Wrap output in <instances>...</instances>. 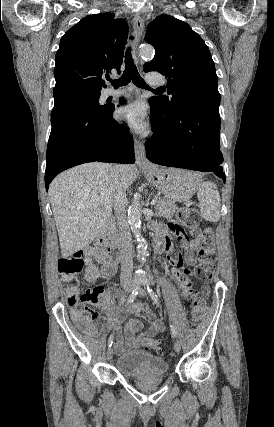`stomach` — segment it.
Returning <instances> with one entry per match:
<instances>
[{
	"mask_svg": "<svg viewBox=\"0 0 274 427\" xmlns=\"http://www.w3.org/2000/svg\"><path fill=\"white\" fill-rule=\"evenodd\" d=\"M147 180L162 192L168 200L173 202H186L192 198L194 192L201 184L199 174L177 170V168H159L152 166L150 172H144Z\"/></svg>",
	"mask_w": 274,
	"mask_h": 427,
	"instance_id": "obj_1",
	"label": "stomach"
}]
</instances>
